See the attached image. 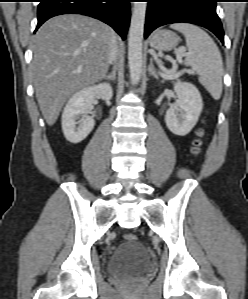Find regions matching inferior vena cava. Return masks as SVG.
Wrapping results in <instances>:
<instances>
[{
  "mask_svg": "<svg viewBox=\"0 0 248 299\" xmlns=\"http://www.w3.org/2000/svg\"><path fill=\"white\" fill-rule=\"evenodd\" d=\"M109 47H110V51H109V60L110 63H112L113 61H116L117 59V40L115 38H112V40L109 43Z\"/></svg>",
  "mask_w": 248,
  "mask_h": 299,
  "instance_id": "obj_1",
  "label": "inferior vena cava"
}]
</instances>
